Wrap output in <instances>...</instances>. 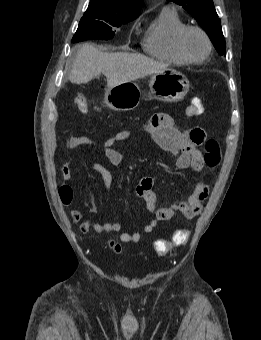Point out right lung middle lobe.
I'll return each mask as SVG.
<instances>
[{
	"label": "right lung middle lobe",
	"mask_w": 261,
	"mask_h": 340,
	"mask_svg": "<svg viewBox=\"0 0 261 340\" xmlns=\"http://www.w3.org/2000/svg\"><path fill=\"white\" fill-rule=\"evenodd\" d=\"M136 17H122L112 15L98 9H87L81 18L78 29L72 42H79L87 39H111L115 33L113 28L132 21Z\"/></svg>",
	"instance_id": "obj_1"
}]
</instances>
